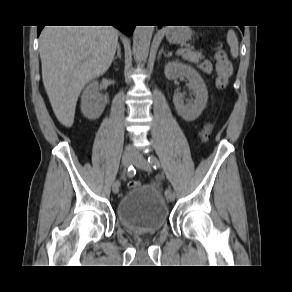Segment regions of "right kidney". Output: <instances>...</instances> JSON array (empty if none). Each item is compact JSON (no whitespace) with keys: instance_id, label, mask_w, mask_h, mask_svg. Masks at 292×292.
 <instances>
[{"instance_id":"right-kidney-1","label":"right kidney","mask_w":292,"mask_h":292,"mask_svg":"<svg viewBox=\"0 0 292 292\" xmlns=\"http://www.w3.org/2000/svg\"><path fill=\"white\" fill-rule=\"evenodd\" d=\"M106 99L99 93L98 81H92L84 89L81 96V111L91 120L98 119L105 109Z\"/></svg>"}]
</instances>
